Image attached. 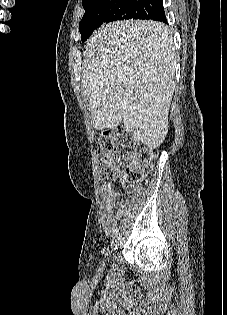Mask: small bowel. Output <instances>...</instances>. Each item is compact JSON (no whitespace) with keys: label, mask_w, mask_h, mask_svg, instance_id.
<instances>
[{"label":"small bowel","mask_w":227,"mask_h":315,"mask_svg":"<svg viewBox=\"0 0 227 315\" xmlns=\"http://www.w3.org/2000/svg\"><path fill=\"white\" fill-rule=\"evenodd\" d=\"M139 188L131 187V196L130 199L125 201L118 200V193L114 189L112 185L104 186L101 188L102 195L104 197V225L107 228H112L113 225L120 219L123 215L124 209L126 208L127 204L135 199ZM114 205V207H113Z\"/></svg>","instance_id":"1"}]
</instances>
